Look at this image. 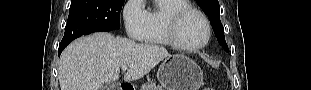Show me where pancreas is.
<instances>
[{"mask_svg":"<svg viewBox=\"0 0 311 90\" xmlns=\"http://www.w3.org/2000/svg\"><path fill=\"white\" fill-rule=\"evenodd\" d=\"M141 90H162V88L156 85L155 82H150V83L144 84Z\"/></svg>","mask_w":311,"mask_h":90,"instance_id":"pancreas-1","label":"pancreas"}]
</instances>
